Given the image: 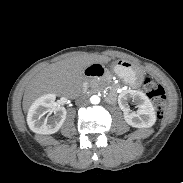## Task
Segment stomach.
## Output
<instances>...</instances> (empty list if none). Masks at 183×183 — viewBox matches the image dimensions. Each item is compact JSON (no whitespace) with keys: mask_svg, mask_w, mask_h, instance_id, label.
Returning a JSON list of instances; mask_svg holds the SVG:
<instances>
[{"mask_svg":"<svg viewBox=\"0 0 183 183\" xmlns=\"http://www.w3.org/2000/svg\"><path fill=\"white\" fill-rule=\"evenodd\" d=\"M113 71L129 85L141 84L144 71L127 60H117L112 64Z\"/></svg>","mask_w":183,"mask_h":183,"instance_id":"0dacf381","label":"stomach"}]
</instances>
